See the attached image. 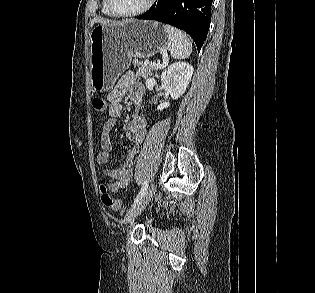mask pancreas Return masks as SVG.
Returning a JSON list of instances; mask_svg holds the SVG:
<instances>
[{"label": "pancreas", "mask_w": 315, "mask_h": 293, "mask_svg": "<svg viewBox=\"0 0 315 293\" xmlns=\"http://www.w3.org/2000/svg\"><path fill=\"white\" fill-rule=\"evenodd\" d=\"M133 64L138 68L136 71V77L138 78L143 77L146 79L152 74V71L157 70V68L153 66L151 62H142L135 59L133 60Z\"/></svg>", "instance_id": "cf45deb5"}]
</instances>
